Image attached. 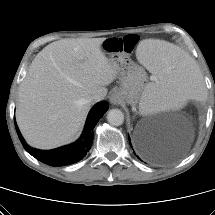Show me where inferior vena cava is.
Returning <instances> with one entry per match:
<instances>
[{
    "mask_svg": "<svg viewBox=\"0 0 215 215\" xmlns=\"http://www.w3.org/2000/svg\"><path fill=\"white\" fill-rule=\"evenodd\" d=\"M104 97H105V95L102 94V93L94 94V95L90 98V102H91V103H95V102L101 101V100L104 99Z\"/></svg>",
    "mask_w": 215,
    "mask_h": 215,
    "instance_id": "602c4592",
    "label": "inferior vena cava"
}]
</instances>
